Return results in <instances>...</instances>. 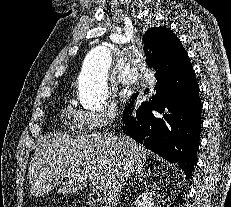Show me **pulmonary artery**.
Returning a JSON list of instances; mask_svg holds the SVG:
<instances>
[{
  "label": "pulmonary artery",
  "instance_id": "1",
  "mask_svg": "<svg viewBox=\"0 0 231 207\" xmlns=\"http://www.w3.org/2000/svg\"><path fill=\"white\" fill-rule=\"evenodd\" d=\"M137 78V75H134L131 72L130 67H126L125 70L119 75L118 81L123 85L132 84Z\"/></svg>",
  "mask_w": 231,
  "mask_h": 207
}]
</instances>
